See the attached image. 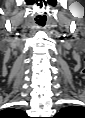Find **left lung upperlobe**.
<instances>
[{
  "instance_id": "left-lung-upper-lobe-1",
  "label": "left lung upper lobe",
  "mask_w": 85,
  "mask_h": 118,
  "mask_svg": "<svg viewBox=\"0 0 85 118\" xmlns=\"http://www.w3.org/2000/svg\"><path fill=\"white\" fill-rule=\"evenodd\" d=\"M75 110V107H67V108H63L61 109V111L59 112V115H65V116H70L71 113Z\"/></svg>"
}]
</instances>
